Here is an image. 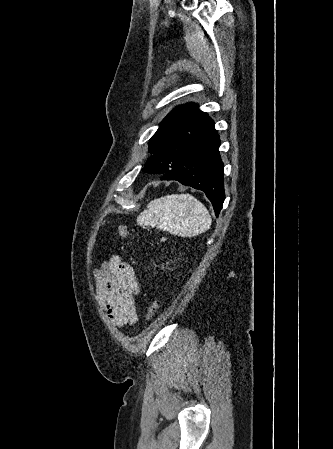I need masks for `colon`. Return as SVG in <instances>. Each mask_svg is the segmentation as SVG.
<instances>
[{
	"instance_id": "1",
	"label": "colon",
	"mask_w": 333,
	"mask_h": 449,
	"mask_svg": "<svg viewBox=\"0 0 333 449\" xmlns=\"http://www.w3.org/2000/svg\"><path fill=\"white\" fill-rule=\"evenodd\" d=\"M117 230H118L119 235L122 238H126L128 236V229L125 225H123V224L118 225ZM160 306H161V300H159L157 298H154L151 300V302L149 303V306L147 308V311H146L147 320H152L156 316Z\"/></svg>"
}]
</instances>
